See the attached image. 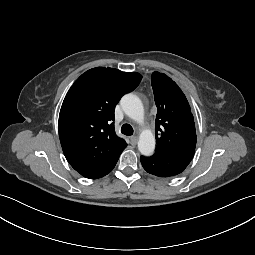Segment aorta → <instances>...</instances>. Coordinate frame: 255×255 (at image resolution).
<instances>
[{"instance_id": "aorta-1", "label": "aorta", "mask_w": 255, "mask_h": 255, "mask_svg": "<svg viewBox=\"0 0 255 255\" xmlns=\"http://www.w3.org/2000/svg\"><path fill=\"white\" fill-rule=\"evenodd\" d=\"M124 113L137 122L144 119V108L141 100L134 94H125L121 98ZM155 137L150 130H143L139 136L138 149L142 155L150 156L155 150Z\"/></svg>"}]
</instances>
